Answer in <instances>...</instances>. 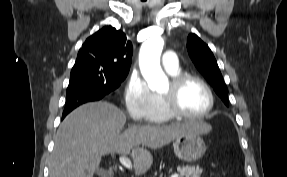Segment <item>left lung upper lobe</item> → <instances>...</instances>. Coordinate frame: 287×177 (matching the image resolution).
Listing matches in <instances>:
<instances>
[{
    "mask_svg": "<svg viewBox=\"0 0 287 177\" xmlns=\"http://www.w3.org/2000/svg\"><path fill=\"white\" fill-rule=\"evenodd\" d=\"M187 48L189 56L197 69L210 83L222 101L229 106L228 89L220 73L216 59L208 45L192 33L188 36Z\"/></svg>",
    "mask_w": 287,
    "mask_h": 177,
    "instance_id": "left-lung-upper-lobe-1",
    "label": "left lung upper lobe"
}]
</instances>
